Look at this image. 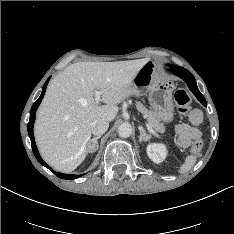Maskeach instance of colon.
<instances>
[{
    "mask_svg": "<svg viewBox=\"0 0 234 234\" xmlns=\"http://www.w3.org/2000/svg\"><path fill=\"white\" fill-rule=\"evenodd\" d=\"M175 103L178 109V112L181 115L191 114V99L188 93L185 90L179 89L175 92L174 95ZM204 143L201 139L196 140L191 146V153L194 155H199L203 149Z\"/></svg>",
    "mask_w": 234,
    "mask_h": 234,
    "instance_id": "5ec220e1",
    "label": "colon"
}]
</instances>
